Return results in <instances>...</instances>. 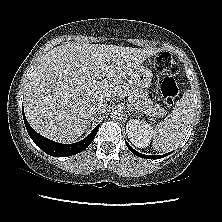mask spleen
<instances>
[{
  "label": "spleen",
  "instance_id": "3e777b00",
  "mask_svg": "<svg viewBox=\"0 0 222 222\" xmlns=\"http://www.w3.org/2000/svg\"><path fill=\"white\" fill-rule=\"evenodd\" d=\"M195 117L193 92L187 90L173 112L153 130L152 146L156 151H171L186 138Z\"/></svg>",
  "mask_w": 222,
  "mask_h": 222
}]
</instances>
